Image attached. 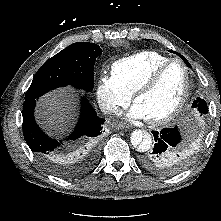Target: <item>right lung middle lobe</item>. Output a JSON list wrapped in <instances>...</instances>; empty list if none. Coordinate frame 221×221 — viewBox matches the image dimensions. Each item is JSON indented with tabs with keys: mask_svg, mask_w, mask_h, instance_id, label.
Instances as JSON below:
<instances>
[{
	"mask_svg": "<svg viewBox=\"0 0 221 221\" xmlns=\"http://www.w3.org/2000/svg\"><path fill=\"white\" fill-rule=\"evenodd\" d=\"M102 53L97 44L77 42L46 61L37 71L25 99H37L59 86L94 88V64Z\"/></svg>",
	"mask_w": 221,
	"mask_h": 221,
	"instance_id": "dd1d6c3e",
	"label": "right lung middle lobe"
}]
</instances>
